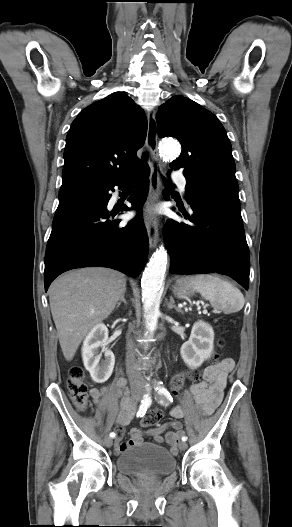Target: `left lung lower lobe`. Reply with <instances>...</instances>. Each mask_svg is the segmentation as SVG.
I'll use <instances>...</instances> for the list:
<instances>
[{"label":"left lung lower lobe","mask_w":292,"mask_h":527,"mask_svg":"<svg viewBox=\"0 0 292 527\" xmlns=\"http://www.w3.org/2000/svg\"><path fill=\"white\" fill-rule=\"evenodd\" d=\"M163 195L168 200L165 190ZM187 201L193 214H188L184 207L180 211L191 223L169 220L164 227L166 246L171 254L170 272H218L247 289L249 249L239 200L204 195Z\"/></svg>","instance_id":"1"}]
</instances>
